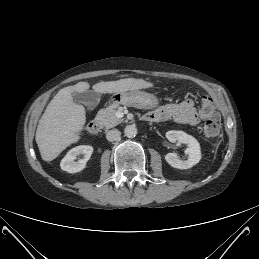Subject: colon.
<instances>
[{"label": "colon", "mask_w": 259, "mask_h": 259, "mask_svg": "<svg viewBox=\"0 0 259 259\" xmlns=\"http://www.w3.org/2000/svg\"><path fill=\"white\" fill-rule=\"evenodd\" d=\"M202 108L208 114V118L203 126V133L207 138L213 139L219 135L220 125L217 121V111L214 107L211 98L204 97L202 102Z\"/></svg>", "instance_id": "5ec220e1"}]
</instances>
